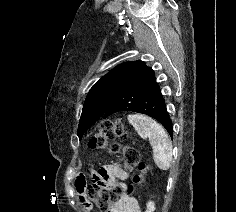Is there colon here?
I'll return each instance as SVG.
<instances>
[{"label": "colon", "mask_w": 236, "mask_h": 212, "mask_svg": "<svg viewBox=\"0 0 236 212\" xmlns=\"http://www.w3.org/2000/svg\"><path fill=\"white\" fill-rule=\"evenodd\" d=\"M124 128L119 120L106 119L99 125L98 133L89 141V148L93 150H101L106 146V141L111 138L126 139ZM112 154L120 152L125 166L129 169L137 168L138 174L134 177V184L138 185L144 181L145 175L150 171L149 165L140 160V154L134 146L120 147L114 144L110 148ZM106 184L101 180L100 175H97L92 182L86 185L85 193L88 199L102 212H112L111 205L117 201L119 189L116 187L112 191H107ZM134 186H131L129 191L132 192Z\"/></svg>", "instance_id": "5ec220e1"}]
</instances>
